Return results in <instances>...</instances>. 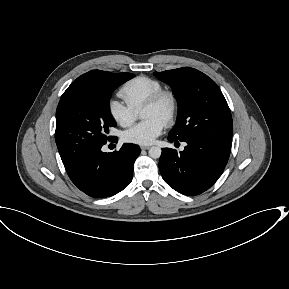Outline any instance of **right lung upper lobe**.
<instances>
[{"label":"right lung upper lobe","mask_w":289,"mask_h":289,"mask_svg":"<svg viewBox=\"0 0 289 289\" xmlns=\"http://www.w3.org/2000/svg\"><path fill=\"white\" fill-rule=\"evenodd\" d=\"M111 74L110 72L101 70L89 71L73 81L63 95L86 91L95 84L109 78Z\"/></svg>","instance_id":"obj_1"}]
</instances>
